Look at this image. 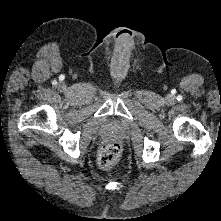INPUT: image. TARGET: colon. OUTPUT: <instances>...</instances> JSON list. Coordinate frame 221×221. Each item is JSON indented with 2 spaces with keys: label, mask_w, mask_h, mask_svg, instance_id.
Wrapping results in <instances>:
<instances>
[{
  "label": "colon",
  "mask_w": 221,
  "mask_h": 221,
  "mask_svg": "<svg viewBox=\"0 0 221 221\" xmlns=\"http://www.w3.org/2000/svg\"><path fill=\"white\" fill-rule=\"evenodd\" d=\"M120 157V147L116 143L108 144L102 148L98 156V164L103 169L112 168Z\"/></svg>",
  "instance_id": "colon-1"
}]
</instances>
